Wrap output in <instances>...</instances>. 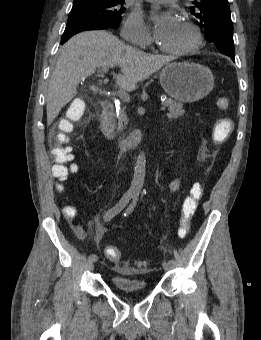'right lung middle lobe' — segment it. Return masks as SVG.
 Wrapping results in <instances>:
<instances>
[{
    "instance_id": "obj_1",
    "label": "right lung middle lobe",
    "mask_w": 261,
    "mask_h": 340,
    "mask_svg": "<svg viewBox=\"0 0 261 340\" xmlns=\"http://www.w3.org/2000/svg\"><path fill=\"white\" fill-rule=\"evenodd\" d=\"M123 0L116 1H80L74 2L68 16H88L109 28H116L121 22V16L125 10Z\"/></svg>"
}]
</instances>
